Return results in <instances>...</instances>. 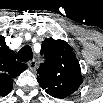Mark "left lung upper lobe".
I'll use <instances>...</instances> for the list:
<instances>
[{"label": "left lung upper lobe", "instance_id": "obj_1", "mask_svg": "<svg viewBox=\"0 0 103 103\" xmlns=\"http://www.w3.org/2000/svg\"><path fill=\"white\" fill-rule=\"evenodd\" d=\"M43 54L47 63L42 64L37 71L40 86L57 98L73 94L82 84L83 78L72 47L63 40L49 38L42 42Z\"/></svg>", "mask_w": 103, "mask_h": 103}]
</instances>
